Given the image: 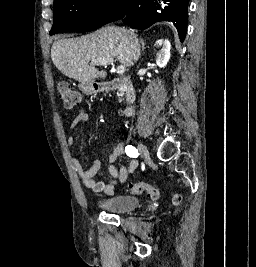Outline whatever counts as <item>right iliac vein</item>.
<instances>
[{"instance_id": "63e3f726", "label": "right iliac vein", "mask_w": 256, "mask_h": 267, "mask_svg": "<svg viewBox=\"0 0 256 267\" xmlns=\"http://www.w3.org/2000/svg\"><path fill=\"white\" fill-rule=\"evenodd\" d=\"M138 150L146 158L149 157V155H150L149 150L143 143L138 144Z\"/></svg>"}]
</instances>
